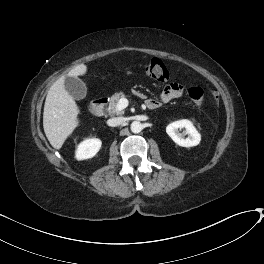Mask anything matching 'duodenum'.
Instances as JSON below:
<instances>
[{
  "instance_id": "obj_1",
  "label": "duodenum",
  "mask_w": 264,
  "mask_h": 264,
  "mask_svg": "<svg viewBox=\"0 0 264 264\" xmlns=\"http://www.w3.org/2000/svg\"><path fill=\"white\" fill-rule=\"evenodd\" d=\"M107 100L104 97H98L92 101V109L96 116L102 117L106 109Z\"/></svg>"
}]
</instances>
